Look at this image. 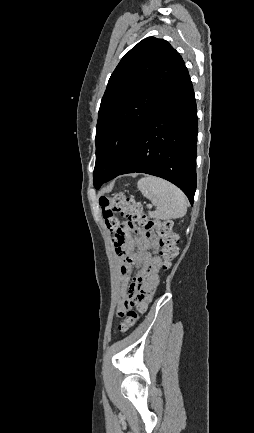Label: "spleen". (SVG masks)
<instances>
[{
	"label": "spleen",
	"instance_id": "1",
	"mask_svg": "<svg viewBox=\"0 0 254 433\" xmlns=\"http://www.w3.org/2000/svg\"><path fill=\"white\" fill-rule=\"evenodd\" d=\"M138 189L144 197L156 207L149 212L151 218L169 220L183 217L187 212V200L183 192L170 182L147 176L137 183Z\"/></svg>",
	"mask_w": 254,
	"mask_h": 433
}]
</instances>
